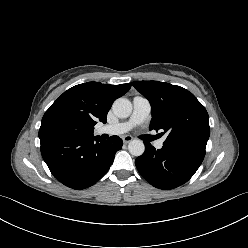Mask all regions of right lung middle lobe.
I'll return each instance as SVG.
<instances>
[{"label":"right lung middle lobe","instance_id":"obj_1","mask_svg":"<svg viewBox=\"0 0 248 248\" xmlns=\"http://www.w3.org/2000/svg\"><path fill=\"white\" fill-rule=\"evenodd\" d=\"M84 136L77 122L65 117L47 121L40 127L39 138Z\"/></svg>","mask_w":248,"mask_h":248}]
</instances>
